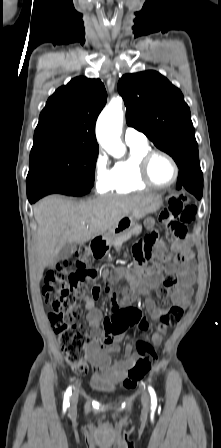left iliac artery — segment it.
<instances>
[{"instance_id": "1", "label": "left iliac artery", "mask_w": 221, "mask_h": 448, "mask_svg": "<svg viewBox=\"0 0 221 448\" xmlns=\"http://www.w3.org/2000/svg\"><path fill=\"white\" fill-rule=\"evenodd\" d=\"M148 390H149V393H150V396H151V408L155 409L156 406H157V398H156L155 391L150 386L148 387Z\"/></svg>"}]
</instances>
